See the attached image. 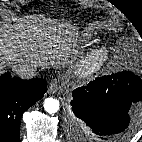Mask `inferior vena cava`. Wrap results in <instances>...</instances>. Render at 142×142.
<instances>
[{"label": "inferior vena cava", "mask_w": 142, "mask_h": 142, "mask_svg": "<svg viewBox=\"0 0 142 142\" xmlns=\"http://www.w3.org/2000/svg\"><path fill=\"white\" fill-rule=\"evenodd\" d=\"M37 66L33 62H26L16 66L15 73L21 79H31L36 76Z\"/></svg>", "instance_id": "inferior-vena-cava-1"}]
</instances>
